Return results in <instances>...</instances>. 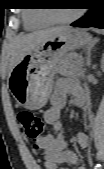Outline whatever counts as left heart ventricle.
Returning a JSON list of instances; mask_svg holds the SVG:
<instances>
[{"mask_svg":"<svg viewBox=\"0 0 104 169\" xmlns=\"http://www.w3.org/2000/svg\"><path fill=\"white\" fill-rule=\"evenodd\" d=\"M73 10L72 9H67V10H57V11H54V15L56 17H59V18H66V17H69L73 14Z\"/></svg>","mask_w":104,"mask_h":169,"instance_id":"b2bd125f","label":"left heart ventricle"}]
</instances>
